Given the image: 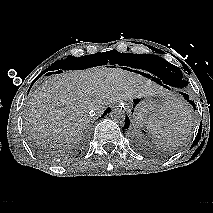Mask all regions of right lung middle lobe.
<instances>
[{
  "mask_svg": "<svg viewBox=\"0 0 213 213\" xmlns=\"http://www.w3.org/2000/svg\"><path fill=\"white\" fill-rule=\"evenodd\" d=\"M128 53H119L116 50L108 52H97L93 55H87L83 57L68 56L65 60L56 61L45 71H57V70H82L89 67L100 66L107 63L121 64L122 60L126 58ZM124 64V63H122Z\"/></svg>",
  "mask_w": 213,
  "mask_h": 213,
  "instance_id": "right-lung-middle-lobe-1",
  "label": "right lung middle lobe"
}]
</instances>
